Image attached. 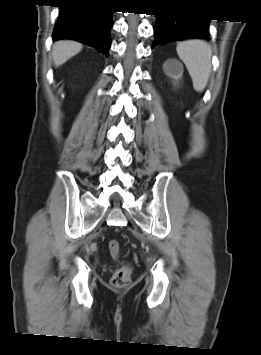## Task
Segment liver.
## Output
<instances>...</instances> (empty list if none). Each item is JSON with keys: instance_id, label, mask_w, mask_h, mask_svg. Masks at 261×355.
<instances>
[{"instance_id": "obj_1", "label": "liver", "mask_w": 261, "mask_h": 355, "mask_svg": "<svg viewBox=\"0 0 261 355\" xmlns=\"http://www.w3.org/2000/svg\"><path fill=\"white\" fill-rule=\"evenodd\" d=\"M83 45L75 41H58L53 44L52 59L56 67L61 66L71 57L78 54Z\"/></svg>"}]
</instances>
